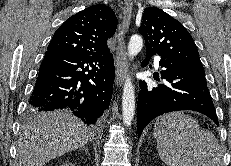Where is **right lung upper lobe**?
Wrapping results in <instances>:
<instances>
[{
	"instance_id": "obj_1",
	"label": "right lung upper lobe",
	"mask_w": 231,
	"mask_h": 166,
	"mask_svg": "<svg viewBox=\"0 0 231 166\" xmlns=\"http://www.w3.org/2000/svg\"><path fill=\"white\" fill-rule=\"evenodd\" d=\"M114 11L103 4L90 6L68 18L54 33L47 52L100 55L109 51L107 40L117 27Z\"/></svg>"
}]
</instances>
